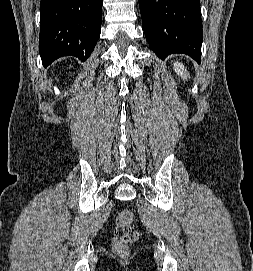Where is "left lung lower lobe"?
<instances>
[{
	"label": "left lung lower lobe",
	"instance_id": "1",
	"mask_svg": "<svg viewBox=\"0 0 253 271\" xmlns=\"http://www.w3.org/2000/svg\"><path fill=\"white\" fill-rule=\"evenodd\" d=\"M146 39L161 59L187 54L201 62L200 0H139Z\"/></svg>",
	"mask_w": 253,
	"mask_h": 271
}]
</instances>
